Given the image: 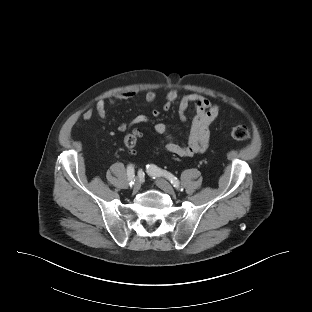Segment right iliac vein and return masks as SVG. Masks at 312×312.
Segmentation results:
<instances>
[{
	"label": "right iliac vein",
	"mask_w": 312,
	"mask_h": 312,
	"mask_svg": "<svg viewBox=\"0 0 312 312\" xmlns=\"http://www.w3.org/2000/svg\"><path fill=\"white\" fill-rule=\"evenodd\" d=\"M141 187V182L139 181V179H136L134 185H133V192L136 193L138 192V190Z\"/></svg>",
	"instance_id": "1"
}]
</instances>
